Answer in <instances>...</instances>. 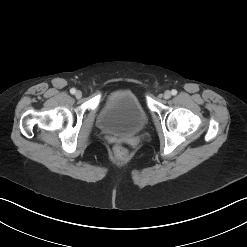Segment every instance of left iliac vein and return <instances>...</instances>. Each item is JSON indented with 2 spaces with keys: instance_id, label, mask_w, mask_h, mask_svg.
I'll return each mask as SVG.
<instances>
[{
  "instance_id": "1",
  "label": "left iliac vein",
  "mask_w": 247,
  "mask_h": 247,
  "mask_svg": "<svg viewBox=\"0 0 247 247\" xmlns=\"http://www.w3.org/2000/svg\"><path fill=\"white\" fill-rule=\"evenodd\" d=\"M163 97L164 99H169L171 97V92L169 90L165 91Z\"/></svg>"
}]
</instances>
